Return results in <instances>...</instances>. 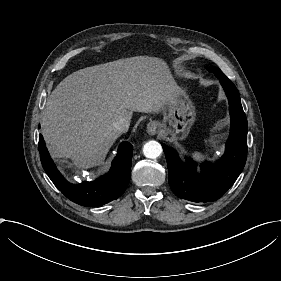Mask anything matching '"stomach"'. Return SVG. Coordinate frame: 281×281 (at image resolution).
<instances>
[{
	"instance_id": "1",
	"label": "stomach",
	"mask_w": 281,
	"mask_h": 281,
	"mask_svg": "<svg viewBox=\"0 0 281 281\" xmlns=\"http://www.w3.org/2000/svg\"><path fill=\"white\" fill-rule=\"evenodd\" d=\"M197 121V110L190 91L182 84L174 96L168 100L163 112V119L157 122L159 132L168 141L176 137L182 141L187 138ZM169 135V138L167 136Z\"/></svg>"
}]
</instances>
